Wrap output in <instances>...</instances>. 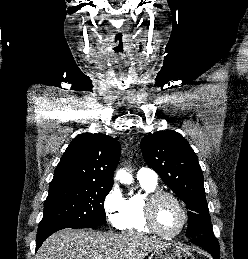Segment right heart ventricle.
<instances>
[{"instance_id": "e07e8e85", "label": "right heart ventricle", "mask_w": 248, "mask_h": 259, "mask_svg": "<svg viewBox=\"0 0 248 259\" xmlns=\"http://www.w3.org/2000/svg\"><path fill=\"white\" fill-rule=\"evenodd\" d=\"M141 192L130 196L126 200L122 230L130 233H151L147 225L144 207L147 195L157 190V183L140 180Z\"/></svg>"}]
</instances>
